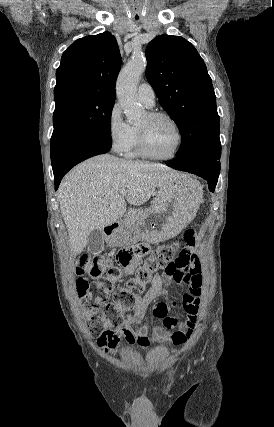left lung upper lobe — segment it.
Listing matches in <instances>:
<instances>
[{
	"label": "left lung upper lobe",
	"mask_w": 274,
	"mask_h": 427,
	"mask_svg": "<svg viewBox=\"0 0 274 427\" xmlns=\"http://www.w3.org/2000/svg\"><path fill=\"white\" fill-rule=\"evenodd\" d=\"M145 53L146 78L182 136L177 158L221 150L214 89L195 47L182 37L164 34L154 38Z\"/></svg>",
	"instance_id": "obj_1"
}]
</instances>
